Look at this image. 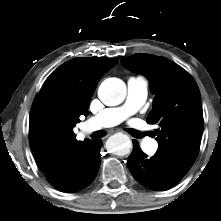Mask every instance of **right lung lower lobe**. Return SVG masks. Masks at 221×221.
<instances>
[{
	"label": "right lung lower lobe",
	"mask_w": 221,
	"mask_h": 221,
	"mask_svg": "<svg viewBox=\"0 0 221 221\" xmlns=\"http://www.w3.org/2000/svg\"><path fill=\"white\" fill-rule=\"evenodd\" d=\"M102 141H92L80 153L68 173L55 182H50L62 192H75L87 187L96 177L101 154Z\"/></svg>",
	"instance_id": "right-lung-lower-lobe-1"
}]
</instances>
